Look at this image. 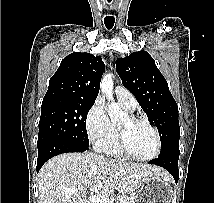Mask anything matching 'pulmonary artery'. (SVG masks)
<instances>
[{
	"label": "pulmonary artery",
	"mask_w": 214,
	"mask_h": 203,
	"mask_svg": "<svg viewBox=\"0 0 214 203\" xmlns=\"http://www.w3.org/2000/svg\"><path fill=\"white\" fill-rule=\"evenodd\" d=\"M115 94L119 102L125 105L129 110L133 111L136 108V100L132 93L124 86L118 85L115 88Z\"/></svg>",
	"instance_id": "pulmonary-artery-1"
}]
</instances>
